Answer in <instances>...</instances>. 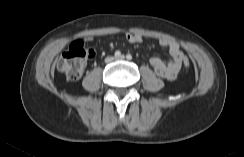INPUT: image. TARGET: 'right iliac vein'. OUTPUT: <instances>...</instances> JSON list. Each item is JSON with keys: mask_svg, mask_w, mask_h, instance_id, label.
Masks as SVG:
<instances>
[{"mask_svg": "<svg viewBox=\"0 0 244 157\" xmlns=\"http://www.w3.org/2000/svg\"><path fill=\"white\" fill-rule=\"evenodd\" d=\"M113 60H114V58L111 57V56H109V57H107V58L105 59V62H106V63H111Z\"/></svg>", "mask_w": 244, "mask_h": 157, "instance_id": "right-iliac-vein-1", "label": "right iliac vein"}]
</instances>
